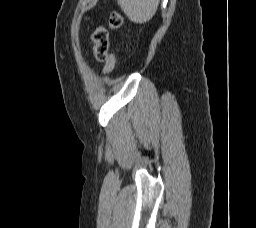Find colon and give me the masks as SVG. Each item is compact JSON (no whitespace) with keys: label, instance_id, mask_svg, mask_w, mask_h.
I'll use <instances>...</instances> for the list:
<instances>
[{"label":"colon","instance_id":"colon-1","mask_svg":"<svg viewBox=\"0 0 256 228\" xmlns=\"http://www.w3.org/2000/svg\"><path fill=\"white\" fill-rule=\"evenodd\" d=\"M123 25V17L118 12L111 13L109 17V27L113 30H118ZM93 41V55L99 62H104L103 73L105 75L111 73L117 63V57L115 54H107L109 46L108 31L99 26L92 34Z\"/></svg>","mask_w":256,"mask_h":228}]
</instances>
